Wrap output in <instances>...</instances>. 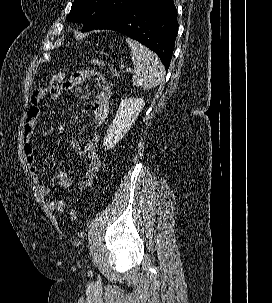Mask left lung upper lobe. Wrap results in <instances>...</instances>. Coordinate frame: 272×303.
<instances>
[{"label": "left lung upper lobe", "instance_id": "left-lung-upper-lobe-1", "mask_svg": "<svg viewBox=\"0 0 272 303\" xmlns=\"http://www.w3.org/2000/svg\"><path fill=\"white\" fill-rule=\"evenodd\" d=\"M140 0H74L68 21L83 23L82 32L94 30L106 20Z\"/></svg>", "mask_w": 272, "mask_h": 303}]
</instances>
